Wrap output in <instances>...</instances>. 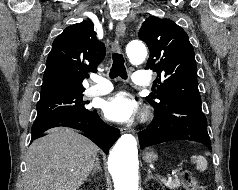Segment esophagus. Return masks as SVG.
<instances>
[{
  "label": "esophagus",
  "mask_w": 238,
  "mask_h": 190,
  "mask_svg": "<svg viewBox=\"0 0 238 190\" xmlns=\"http://www.w3.org/2000/svg\"><path fill=\"white\" fill-rule=\"evenodd\" d=\"M125 31H126V25L124 24V22H120L118 23L117 27H116V37L119 39V38H122L124 35H125ZM129 130L126 129V128H121L120 129V132L122 134L128 132Z\"/></svg>",
  "instance_id": "esophagus-1"
}]
</instances>
